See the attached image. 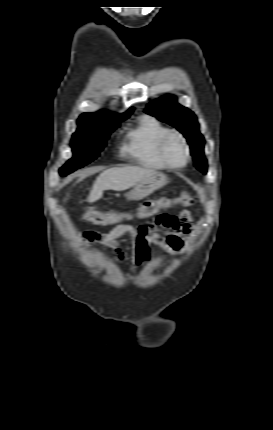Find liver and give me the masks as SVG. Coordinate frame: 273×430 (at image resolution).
Returning a JSON list of instances; mask_svg holds the SVG:
<instances>
[{
	"instance_id": "1",
	"label": "liver",
	"mask_w": 273,
	"mask_h": 430,
	"mask_svg": "<svg viewBox=\"0 0 273 430\" xmlns=\"http://www.w3.org/2000/svg\"><path fill=\"white\" fill-rule=\"evenodd\" d=\"M152 172V169L132 166L106 169L94 182L87 201L92 203L99 200L105 190H127Z\"/></svg>"
}]
</instances>
